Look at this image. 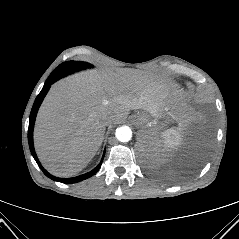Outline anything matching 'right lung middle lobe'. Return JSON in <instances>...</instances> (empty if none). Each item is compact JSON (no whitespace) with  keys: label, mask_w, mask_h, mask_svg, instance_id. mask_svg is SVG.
I'll list each match as a JSON object with an SVG mask.
<instances>
[{"label":"right lung middle lobe","mask_w":239,"mask_h":239,"mask_svg":"<svg viewBox=\"0 0 239 239\" xmlns=\"http://www.w3.org/2000/svg\"><path fill=\"white\" fill-rule=\"evenodd\" d=\"M92 65L82 61H67L60 64L55 70L50 74L45 83H54L58 79L65 77L73 72L91 68Z\"/></svg>","instance_id":"dd1d6c3e"}]
</instances>
